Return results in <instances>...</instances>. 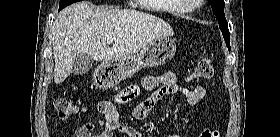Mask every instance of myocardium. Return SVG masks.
I'll return each instance as SVG.
<instances>
[{
	"label": "myocardium",
	"instance_id": "f54148a6",
	"mask_svg": "<svg viewBox=\"0 0 280 137\" xmlns=\"http://www.w3.org/2000/svg\"><path fill=\"white\" fill-rule=\"evenodd\" d=\"M184 1L187 2L186 5L189 9H194L196 6H198V4L191 3V2H195L193 0H184ZM197 2H201V0H198Z\"/></svg>",
	"mask_w": 280,
	"mask_h": 137
}]
</instances>
